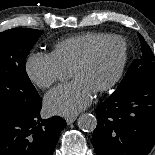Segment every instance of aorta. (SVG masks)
<instances>
[{"label": "aorta", "instance_id": "aorta-1", "mask_svg": "<svg viewBox=\"0 0 155 155\" xmlns=\"http://www.w3.org/2000/svg\"><path fill=\"white\" fill-rule=\"evenodd\" d=\"M78 127L85 132H93L97 126V119L94 115L84 113L78 118Z\"/></svg>", "mask_w": 155, "mask_h": 155}]
</instances>
